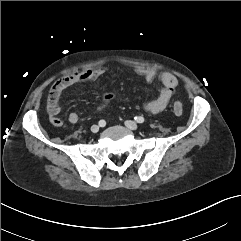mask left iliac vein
Listing matches in <instances>:
<instances>
[{"mask_svg": "<svg viewBox=\"0 0 241 241\" xmlns=\"http://www.w3.org/2000/svg\"><path fill=\"white\" fill-rule=\"evenodd\" d=\"M126 127H128L131 130H137L138 129V125L136 122L128 120L125 122Z\"/></svg>", "mask_w": 241, "mask_h": 241, "instance_id": "obj_1", "label": "left iliac vein"}]
</instances>
